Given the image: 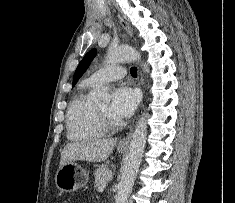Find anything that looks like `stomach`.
<instances>
[{"label":"stomach","instance_id":"stomach-1","mask_svg":"<svg viewBox=\"0 0 235 203\" xmlns=\"http://www.w3.org/2000/svg\"><path fill=\"white\" fill-rule=\"evenodd\" d=\"M118 152L123 153L126 148H117ZM88 172L74 162H69L59 167L55 175V184L62 192H74L85 186L88 182Z\"/></svg>","mask_w":235,"mask_h":203}]
</instances>
